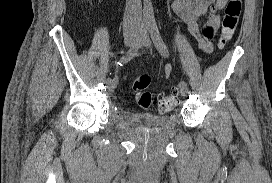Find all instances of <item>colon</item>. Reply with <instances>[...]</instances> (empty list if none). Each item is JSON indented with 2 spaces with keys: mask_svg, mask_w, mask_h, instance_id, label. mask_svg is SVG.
Masks as SVG:
<instances>
[{
  "mask_svg": "<svg viewBox=\"0 0 272 183\" xmlns=\"http://www.w3.org/2000/svg\"><path fill=\"white\" fill-rule=\"evenodd\" d=\"M242 10V0H228L222 25L220 46L223 47L233 36ZM151 82L148 74L138 76L132 83L137 103L144 109L155 108L159 113H166L178 103L176 92L157 99L147 90Z\"/></svg>",
  "mask_w": 272,
  "mask_h": 183,
  "instance_id": "colon-1",
  "label": "colon"
}]
</instances>
